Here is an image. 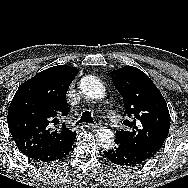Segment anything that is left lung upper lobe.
I'll list each match as a JSON object with an SVG mask.
<instances>
[{"label": "left lung upper lobe", "instance_id": "5c2ea615", "mask_svg": "<svg viewBox=\"0 0 188 188\" xmlns=\"http://www.w3.org/2000/svg\"><path fill=\"white\" fill-rule=\"evenodd\" d=\"M112 81L124 97L125 130L116 132V142L155 154L170 128V114L161 92L140 69L122 67Z\"/></svg>", "mask_w": 188, "mask_h": 188}]
</instances>
